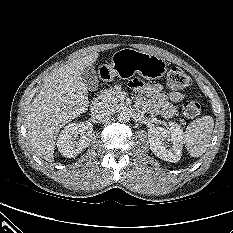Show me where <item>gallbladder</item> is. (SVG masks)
Listing matches in <instances>:
<instances>
[{"label":"gallbladder","instance_id":"1","mask_svg":"<svg viewBox=\"0 0 233 233\" xmlns=\"http://www.w3.org/2000/svg\"><path fill=\"white\" fill-rule=\"evenodd\" d=\"M81 78L87 88L94 91L98 87V78L93 64L85 67L81 73Z\"/></svg>","mask_w":233,"mask_h":233}]
</instances>
